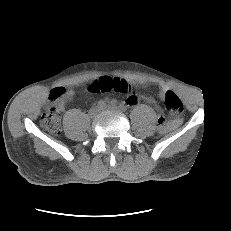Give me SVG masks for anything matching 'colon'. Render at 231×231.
Instances as JSON below:
<instances>
[{
    "mask_svg": "<svg viewBox=\"0 0 231 231\" xmlns=\"http://www.w3.org/2000/svg\"><path fill=\"white\" fill-rule=\"evenodd\" d=\"M91 90L94 92H110L116 91L125 93L129 90L128 83L120 78H101L91 84ZM62 94L61 90H54L51 93V100H55ZM164 103L167 111L174 115L179 116L183 111V105L179 97L172 91H167L164 96ZM42 126L53 134L60 132V118L56 107L51 106L41 116ZM159 126L162 130L166 129L163 116L159 118Z\"/></svg>",
    "mask_w": 231,
    "mask_h": 231,
    "instance_id": "obj_1",
    "label": "colon"
}]
</instances>
